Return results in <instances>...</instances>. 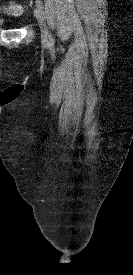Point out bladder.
<instances>
[{"label": "bladder", "instance_id": "obj_1", "mask_svg": "<svg viewBox=\"0 0 133 275\" xmlns=\"http://www.w3.org/2000/svg\"><path fill=\"white\" fill-rule=\"evenodd\" d=\"M7 23L5 20L3 19H0V26H5Z\"/></svg>", "mask_w": 133, "mask_h": 275}]
</instances>
